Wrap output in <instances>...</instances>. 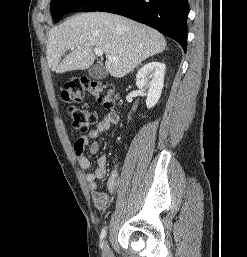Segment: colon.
Segmentation results:
<instances>
[{
  "mask_svg": "<svg viewBox=\"0 0 247 257\" xmlns=\"http://www.w3.org/2000/svg\"><path fill=\"white\" fill-rule=\"evenodd\" d=\"M86 95L94 98L106 109L112 108L116 100L113 87L110 84L86 78L68 81L61 93L62 99L70 103H80ZM67 111L72 125L77 131L86 132L96 122V115L92 111L75 105H70Z\"/></svg>",
  "mask_w": 247,
  "mask_h": 257,
  "instance_id": "obj_1",
  "label": "colon"
}]
</instances>
